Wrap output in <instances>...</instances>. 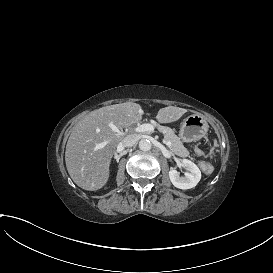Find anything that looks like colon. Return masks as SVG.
Returning <instances> with one entry per match:
<instances>
[{
    "label": "colon",
    "instance_id": "obj_1",
    "mask_svg": "<svg viewBox=\"0 0 273 273\" xmlns=\"http://www.w3.org/2000/svg\"><path fill=\"white\" fill-rule=\"evenodd\" d=\"M214 154H215V152L213 151V152H212V155H214Z\"/></svg>",
    "mask_w": 273,
    "mask_h": 273
}]
</instances>
